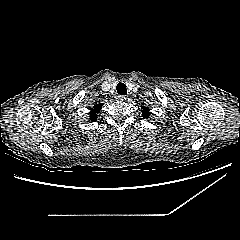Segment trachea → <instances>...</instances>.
Instances as JSON below:
<instances>
[{
    "label": "trachea",
    "mask_w": 240,
    "mask_h": 240,
    "mask_svg": "<svg viewBox=\"0 0 240 240\" xmlns=\"http://www.w3.org/2000/svg\"><path fill=\"white\" fill-rule=\"evenodd\" d=\"M116 89H117L118 94H120V95L127 94V88L124 83H118Z\"/></svg>",
    "instance_id": "obj_1"
}]
</instances>
